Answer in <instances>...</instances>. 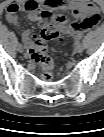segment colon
<instances>
[{
  "label": "colon",
  "instance_id": "obj_1",
  "mask_svg": "<svg viewBox=\"0 0 104 137\" xmlns=\"http://www.w3.org/2000/svg\"><path fill=\"white\" fill-rule=\"evenodd\" d=\"M40 25L42 31L40 37H38L34 43L32 49V58L44 70L43 73L44 78L46 80H49L52 77L54 62H53V56L48 48L47 42L49 40H53L61 37L63 33L61 30L57 28L56 25H54L51 16L47 12H42L40 14Z\"/></svg>",
  "mask_w": 104,
  "mask_h": 137
}]
</instances>
